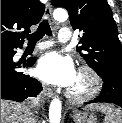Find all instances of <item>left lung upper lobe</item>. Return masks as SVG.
Returning a JSON list of instances; mask_svg holds the SVG:
<instances>
[{
	"instance_id": "left-lung-upper-lobe-1",
	"label": "left lung upper lobe",
	"mask_w": 122,
	"mask_h": 123,
	"mask_svg": "<svg viewBox=\"0 0 122 123\" xmlns=\"http://www.w3.org/2000/svg\"><path fill=\"white\" fill-rule=\"evenodd\" d=\"M51 3L65 8L73 29L83 32L77 50L99 76L122 72V47L106 0H51Z\"/></svg>"
}]
</instances>
